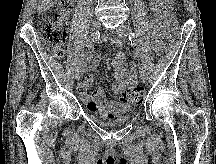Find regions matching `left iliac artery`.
<instances>
[{"label":"left iliac artery","instance_id":"1","mask_svg":"<svg viewBox=\"0 0 216 164\" xmlns=\"http://www.w3.org/2000/svg\"><path fill=\"white\" fill-rule=\"evenodd\" d=\"M135 38H136L135 34L131 32L130 35H129V41H130L131 45L133 46L132 48L134 50L137 48L136 47L137 46V41H136ZM136 56L138 58L140 57V55L138 53L136 54ZM136 62L138 63V67H140V70H145V65H143V62L140 59H138Z\"/></svg>","mask_w":216,"mask_h":164}]
</instances>
